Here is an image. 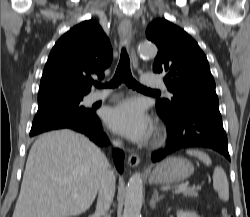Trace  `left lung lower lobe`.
Segmentation results:
<instances>
[{
	"instance_id": "0a47b994",
	"label": "left lung lower lobe",
	"mask_w": 250,
	"mask_h": 217,
	"mask_svg": "<svg viewBox=\"0 0 250 217\" xmlns=\"http://www.w3.org/2000/svg\"><path fill=\"white\" fill-rule=\"evenodd\" d=\"M158 115L168 126V142L163 150L152 155L153 161L188 147L211 148L230 160L218 100L186 105L174 116L159 111Z\"/></svg>"
}]
</instances>
